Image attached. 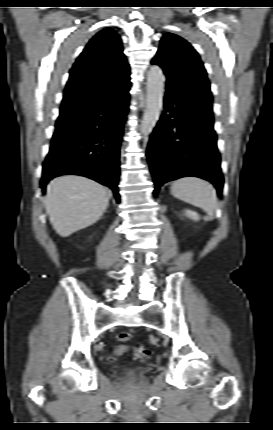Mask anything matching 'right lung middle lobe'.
Listing matches in <instances>:
<instances>
[{
	"instance_id": "obj_1",
	"label": "right lung middle lobe",
	"mask_w": 273,
	"mask_h": 430,
	"mask_svg": "<svg viewBox=\"0 0 273 430\" xmlns=\"http://www.w3.org/2000/svg\"><path fill=\"white\" fill-rule=\"evenodd\" d=\"M78 117V113L61 112L56 122V127L71 123Z\"/></svg>"
}]
</instances>
